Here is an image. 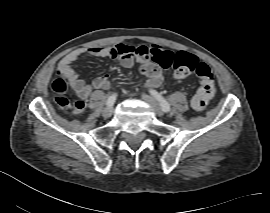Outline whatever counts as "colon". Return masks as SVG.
<instances>
[{"label": "colon", "instance_id": "1", "mask_svg": "<svg viewBox=\"0 0 270 213\" xmlns=\"http://www.w3.org/2000/svg\"><path fill=\"white\" fill-rule=\"evenodd\" d=\"M115 50L116 53L122 57L135 56L141 59L152 58L164 69L172 67L174 69V76L178 79L185 78L194 70L201 84L191 100V106L195 111H202L215 94L214 75L210 67L205 63L199 62L198 58L193 54L178 52L173 57L161 53L151 55L144 46L126 44H117ZM52 89L55 93L54 100L58 105L74 112L83 110L85 104L82 101H70L63 96L64 90L61 88L59 80H55L52 83Z\"/></svg>", "mask_w": 270, "mask_h": 213}]
</instances>
